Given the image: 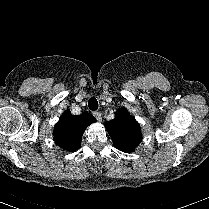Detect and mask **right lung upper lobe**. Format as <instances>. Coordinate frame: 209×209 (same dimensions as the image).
Instances as JSON below:
<instances>
[{"instance_id": "obj_1", "label": "right lung upper lobe", "mask_w": 209, "mask_h": 209, "mask_svg": "<svg viewBox=\"0 0 209 209\" xmlns=\"http://www.w3.org/2000/svg\"><path fill=\"white\" fill-rule=\"evenodd\" d=\"M94 122L96 119L90 113L72 115L67 110L55 125L54 140L64 150L74 152L80 147L86 127Z\"/></svg>"}]
</instances>
